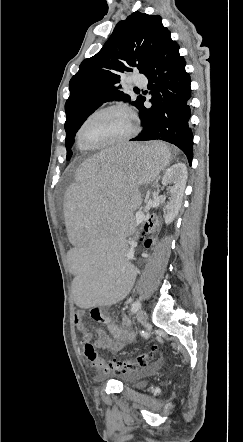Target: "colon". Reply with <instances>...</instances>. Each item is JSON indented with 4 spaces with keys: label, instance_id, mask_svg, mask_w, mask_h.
Here are the masks:
<instances>
[{
    "label": "colon",
    "instance_id": "1",
    "mask_svg": "<svg viewBox=\"0 0 243 442\" xmlns=\"http://www.w3.org/2000/svg\"><path fill=\"white\" fill-rule=\"evenodd\" d=\"M157 218H149L143 223V228L139 241L144 243L149 253L154 254L158 251L157 241L160 238L158 234L161 231L159 226H155ZM155 349L145 351L137 356H122L121 360H109L100 355L91 343L83 345V354L86 357V364H90L95 370L104 374H122L135 371L147 365H153V354Z\"/></svg>",
    "mask_w": 243,
    "mask_h": 442
}]
</instances>
